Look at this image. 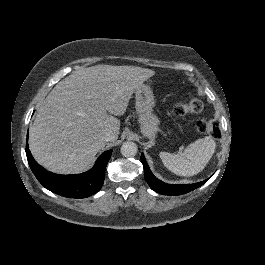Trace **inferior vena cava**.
<instances>
[{
    "instance_id": "1",
    "label": "inferior vena cava",
    "mask_w": 265,
    "mask_h": 265,
    "mask_svg": "<svg viewBox=\"0 0 265 265\" xmlns=\"http://www.w3.org/2000/svg\"><path fill=\"white\" fill-rule=\"evenodd\" d=\"M113 132L110 130L105 131L104 138L106 141H110L113 138Z\"/></svg>"
}]
</instances>
